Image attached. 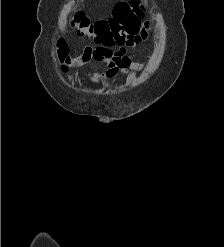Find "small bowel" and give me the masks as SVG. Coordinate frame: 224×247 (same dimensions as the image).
<instances>
[{
  "label": "small bowel",
  "instance_id": "obj_1",
  "mask_svg": "<svg viewBox=\"0 0 224 247\" xmlns=\"http://www.w3.org/2000/svg\"><path fill=\"white\" fill-rule=\"evenodd\" d=\"M149 36V24L145 23L137 32L126 34L113 41H95L96 46H85L80 57L71 60L65 40L58 36L55 39L57 55L63 63L82 65L91 59L103 61L107 64L104 71L89 74V81L97 86H103L112 81L118 74L128 75L130 71H142L144 65L134 62L132 55L134 50L143 46ZM116 47V49H113Z\"/></svg>",
  "mask_w": 224,
  "mask_h": 247
}]
</instances>
